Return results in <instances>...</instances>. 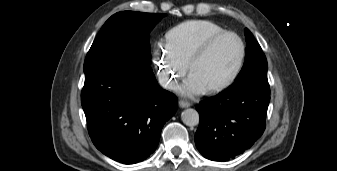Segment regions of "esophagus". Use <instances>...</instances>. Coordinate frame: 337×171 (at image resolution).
<instances>
[{
  "label": "esophagus",
  "instance_id": "obj_1",
  "mask_svg": "<svg viewBox=\"0 0 337 171\" xmlns=\"http://www.w3.org/2000/svg\"><path fill=\"white\" fill-rule=\"evenodd\" d=\"M179 106L181 108H188L191 106V103L185 100H179Z\"/></svg>",
  "mask_w": 337,
  "mask_h": 171
}]
</instances>
